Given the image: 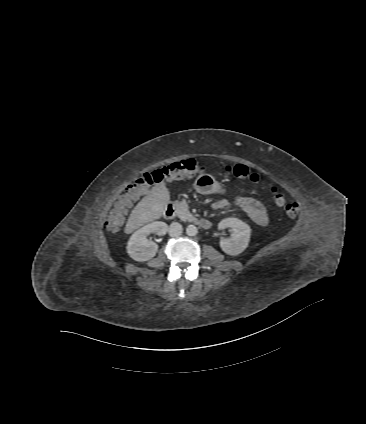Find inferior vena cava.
<instances>
[{"label": "inferior vena cava", "instance_id": "obj_1", "mask_svg": "<svg viewBox=\"0 0 366 424\" xmlns=\"http://www.w3.org/2000/svg\"><path fill=\"white\" fill-rule=\"evenodd\" d=\"M169 235L170 236H173V237H175V236H179V235H181L182 234V232H183V228H182V225L181 224H179V223H177V222H173L171 225H170V227H169Z\"/></svg>", "mask_w": 366, "mask_h": 424}]
</instances>
